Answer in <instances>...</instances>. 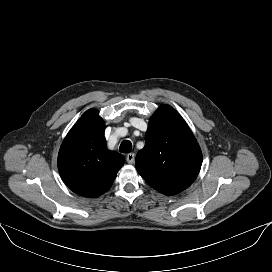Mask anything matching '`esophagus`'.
Returning a JSON list of instances; mask_svg holds the SVG:
<instances>
[{"mask_svg": "<svg viewBox=\"0 0 272 272\" xmlns=\"http://www.w3.org/2000/svg\"><path fill=\"white\" fill-rule=\"evenodd\" d=\"M126 160L129 164H133L135 161V155L133 153H130L126 156Z\"/></svg>", "mask_w": 272, "mask_h": 272, "instance_id": "obj_1", "label": "esophagus"}]
</instances>
